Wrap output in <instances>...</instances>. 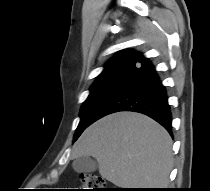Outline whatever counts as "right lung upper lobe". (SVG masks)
Returning <instances> with one entry per match:
<instances>
[{"label":"right lung upper lobe","mask_w":210,"mask_h":191,"mask_svg":"<svg viewBox=\"0 0 210 191\" xmlns=\"http://www.w3.org/2000/svg\"><path fill=\"white\" fill-rule=\"evenodd\" d=\"M136 54V52L127 50V51H122L121 53H119L118 55H116L114 58L116 57H120V56H129V57H133Z\"/></svg>","instance_id":"obj_1"}]
</instances>
